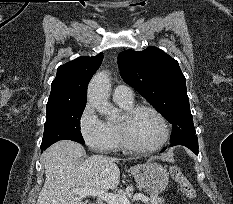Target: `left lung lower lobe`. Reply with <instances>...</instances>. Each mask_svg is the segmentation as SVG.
Returning a JSON list of instances; mask_svg holds the SVG:
<instances>
[{"label":"left lung lower lobe","instance_id":"0a47b994","mask_svg":"<svg viewBox=\"0 0 233 204\" xmlns=\"http://www.w3.org/2000/svg\"><path fill=\"white\" fill-rule=\"evenodd\" d=\"M183 145L192 150L195 154H198V139L196 135H188L180 138L179 140L172 142L170 146ZM164 148L162 151H164Z\"/></svg>","mask_w":233,"mask_h":204}]
</instances>
